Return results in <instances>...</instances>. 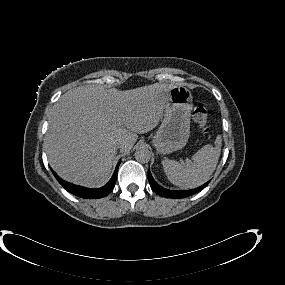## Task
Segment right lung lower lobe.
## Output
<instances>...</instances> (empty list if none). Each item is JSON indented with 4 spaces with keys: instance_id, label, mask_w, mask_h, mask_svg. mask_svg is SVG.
<instances>
[{
    "instance_id": "98d812e1",
    "label": "right lung lower lobe",
    "mask_w": 285,
    "mask_h": 285,
    "mask_svg": "<svg viewBox=\"0 0 285 285\" xmlns=\"http://www.w3.org/2000/svg\"><path fill=\"white\" fill-rule=\"evenodd\" d=\"M121 161L118 162L114 174L109 180V182L104 185L103 187L96 188V189H89L85 188L79 185H74L72 183L66 182L62 180L53 170V174L57 181L63 186L65 190H67L69 193L78 196L80 198H85V199H98V198H103L107 196L114 188L116 179H117V173H118V168L120 165Z\"/></svg>"
}]
</instances>
